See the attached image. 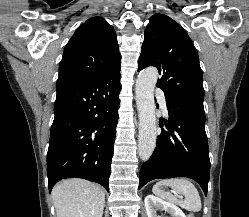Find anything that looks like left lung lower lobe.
Segmentation results:
<instances>
[{
  "mask_svg": "<svg viewBox=\"0 0 249 217\" xmlns=\"http://www.w3.org/2000/svg\"><path fill=\"white\" fill-rule=\"evenodd\" d=\"M165 98L167 130L161 129L152 156L141 167L139 189L154 179L188 177L207 195L210 159L203 101L186 96Z\"/></svg>",
  "mask_w": 249,
  "mask_h": 217,
  "instance_id": "obj_1",
  "label": "left lung lower lobe"
}]
</instances>
